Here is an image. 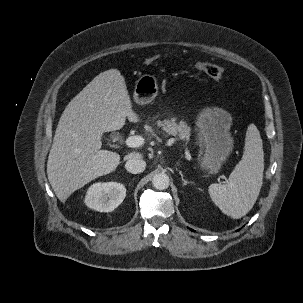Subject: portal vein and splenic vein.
Returning <instances> with one entry per match:
<instances>
[{"label": "portal vein and splenic vein", "instance_id": "portal-vein-and-splenic-vein-1", "mask_svg": "<svg viewBox=\"0 0 303 303\" xmlns=\"http://www.w3.org/2000/svg\"><path fill=\"white\" fill-rule=\"evenodd\" d=\"M125 144L131 148L140 147L144 144V139L141 136H130L125 140Z\"/></svg>", "mask_w": 303, "mask_h": 303}]
</instances>
